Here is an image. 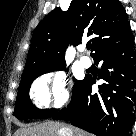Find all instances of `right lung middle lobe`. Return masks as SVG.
Returning a JSON list of instances; mask_svg holds the SVG:
<instances>
[{
	"instance_id": "1",
	"label": "right lung middle lobe",
	"mask_w": 136,
	"mask_h": 136,
	"mask_svg": "<svg viewBox=\"0 0 136 136\" xmlns=\"http://www.w3.org/2000/svg\"><path fill=\"white\" fill-rule=\"evenodd\" d=\"M64 65H59L56 67H53L51 69L34 73L29 76H26L21 79V83L19 85V90L17 94V99L15 103V110L13 115L18 118V119H37V118H49L53 114H55L58 109H50V110H40L35 108L32 105V102L29 98V88L31 83L40 75L52 72L54 70H64L65 68L63 67ZM81 81L76 80L74 87H73V93L80 84Z\"/></svg>"
}]
</instances>
